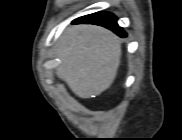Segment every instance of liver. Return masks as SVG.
I'll return each mask as SVG.
<instances>
[{"label":"liver","instance_id":"obj_1","mask_svg":"<svg viewBox=\"0 0 182 140\" xmlns=\"http://www.w3.org/2000/svg\"><path fill=\"white\" fill-rule=\"evenodd\" d=\"M120 55V40L111 31L95 25L70 26L59 41L56 75L76 96H97L113 83Z\"/></svg>","mask_w":182,"mask_h":140}]
</instances>
